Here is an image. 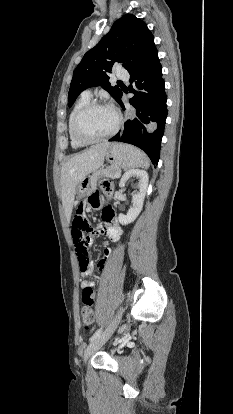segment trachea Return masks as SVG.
<instances>
[{
    "instance_id": "obj_1",
    "label": "trachea",
    "mask_w": 233,
    "mask_h": 414,
    "mask_svg": "<svg viewBox=\"0 0 233 414\" xmlns=\"http://www.w3.org/2000/svg\"><path fill=\"white\" fill-rule=\"evenodd\" d=\"M118 83H122V81L119 80Z\"/></svg>"
}]
</instances>
